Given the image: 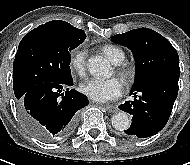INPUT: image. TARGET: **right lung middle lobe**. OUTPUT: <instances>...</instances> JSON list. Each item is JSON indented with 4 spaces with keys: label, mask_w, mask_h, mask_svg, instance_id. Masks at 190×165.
<instances>
[{
    "label": "right lung middle lobe",
    "mask_w": 190,
    "mask_h": 165,
    "mask_svg": "<svg viewBox=\"0 0 190 165\" xmlns=\"http://www.w3.org/2000/svg\"><path fill=\"white\" fill-rule=\"evenodd\" d=\"M85 32L67 22L54 20L40 25L21 40L13 66V88L19 100L43 82L72 80L70 52L85 40Z\"/></svg>",
    "instance_id": "1"
}]
</instances>
